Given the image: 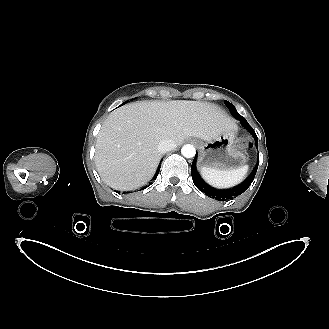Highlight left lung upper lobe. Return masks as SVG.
Masks as SVG:
<instances>
[{"label": "left lung upper lobe", "mask_w": 329, "mask_h": 329, "mask_svg": "<svg viewBox=\"0 0 329 329\" xmlns=\"http://www.w3.org/2000/svg\"><path fill=\"white\" fill-rule=\"evenodd\" d=\"M227 108L230 110L231 114L238 120L244 119L236 110V108L228 101H225Z\"/></svg>", "instance_id": "obj_1"}]
</instances>
